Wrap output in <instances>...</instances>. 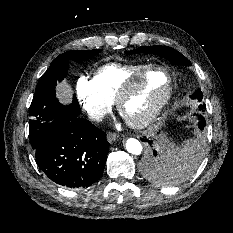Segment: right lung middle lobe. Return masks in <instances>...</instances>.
<instances>
[{
    "label": "right lung middle lobe",
    "mask_w": 233,
    "mask_h": 233,
    "mask_svg": "<svg viewBox=\"0 0 233 233\" xmlns=\"http://www.w3.org/2000/svg\"><path fill=\"white\" fill-rule=\"evenodd\" d=\"M101 50L68 51L55 58L36 87L30 106L29 137L36 151L49 131L50 123L60 114L80 112V106L74 97L69 106L60 104L55 97L57 81H62L68 72L69 59L83 61L97 55Z\"/></svg>",
    "instance_id": "dd1d6c3e"
}]
</instances>
